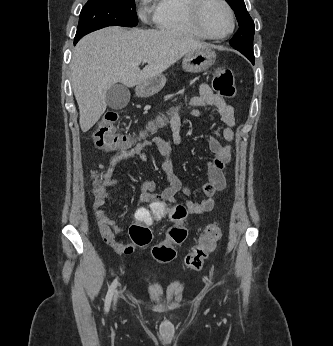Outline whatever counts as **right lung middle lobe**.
<instances>
[{
  "mask_svg": "<svg viewBox=\"0 0 333 346\" xmlns=\"http://www.w3.org/2000/svg\"><path fill=\"white\" fill-rule=\"evenodd\" d=\"M135 0H88L81 10L75 40L107 27H134L138 23Z\"/></svg>",
  "mask_w": 333,
  "mask_h": 346,
  "instance_id": "right-lung-middle-lobe-1",
  "label": "right lung middle lobe"
}]
</instances>
